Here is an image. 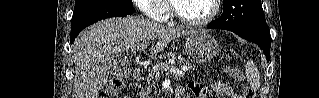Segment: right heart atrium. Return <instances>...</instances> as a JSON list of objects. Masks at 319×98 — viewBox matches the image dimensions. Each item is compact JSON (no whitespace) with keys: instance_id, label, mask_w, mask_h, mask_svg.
Returning <instances> with one entry per match:
<instances>
[{"instance_id":"1","label":"right heart atrium","mask_w":319,"mask_h":98,"mask_svg":"<svg viewBox=\"0 0 319 98\" xmlns=\"http://www.w3.org/2000/svg\"><path fill=\"white\" fill-rule=\"evenodd\" d=\"M135 3L149 18L160 20L168 14V6L163 0H136Z\"/></svg>"}]
</instances>
